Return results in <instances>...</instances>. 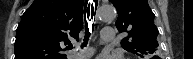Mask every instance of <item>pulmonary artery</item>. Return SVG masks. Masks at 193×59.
<instances>
[{
	"instance_id": "pulmonary-artery-1",
	"label": "pulmonary artery",
	"mask_w": 193,
	"mask_h": 59,
	"mask_svg": "<svg viewBox=\"0 0 193 59\" xmlns=\"http://www.w3.org/2000/svg\"><path fill=\"white\" fill-rule=\"evenodd\" d=\"M102 37L105 41H110L114 38V33H113V29L111 27H104L102 29ZM94 50H91L90 51V54L93 53ZM86 54L84 55H79V58H82L83 56H85Z\"/></svg>"
}]
</instances>
